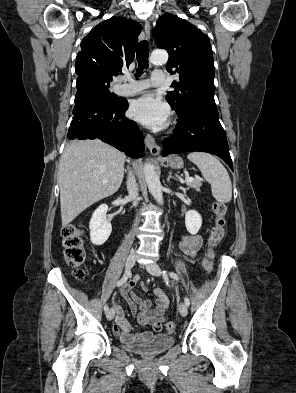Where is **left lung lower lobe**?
<instances>
[{
    "instance_id": "1",
    "label": "left lung lower lobe",
    "mask_w": 296,
    "mask_h": 393,
    "mask_svg": "<svg viewBox=\"0 0 296 393\" xmlns=\"http://www.w3.org/2000/svg\"><path fill=\"white\" fill-rule=\"evenodd\" d=\"M187 151L215 154L233 170L217 107L208 105L194 107L185 117L179 119L174 134L163 141V156Z\"/></svg>"
}]
</instances>
